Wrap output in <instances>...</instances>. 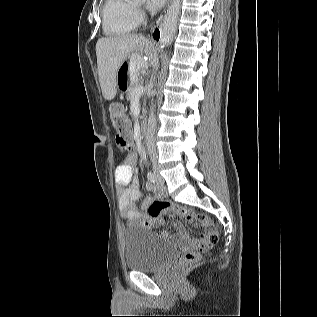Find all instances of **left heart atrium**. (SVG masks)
Masks as SVG:
<instances>
[{
	"instance_id": "left-heart-atrium-1",
	"label": "left heart atrium",
	"mask_w": 317,
	"mask_h": 317,
	"mask_svg": "<svg viewBox=\"0 0 317 317\" xmlns=\"http://www.w3.org/2000/svg\"><path fill=\"white\" fill-rule=\"evenodd\" d=\"M166 0H147V7L150 10H157L165 4Z\"/></svg>"
}]
</instances>
